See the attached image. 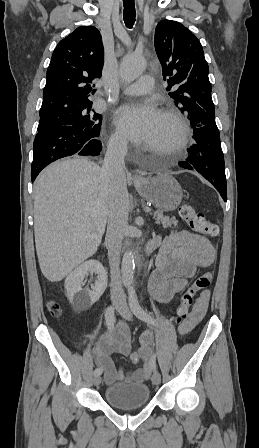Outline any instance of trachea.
<instances>
[{"mask_svg":"<svg viewBox=\"0 0 259 448\" xmlns=\"http://www.w3.org/2000/svg\"><path fill=\"white\" fill-rule=\"evenodd\" d=\"M124 5V22L128 28H132L135 22V2L134 0H123Z\"/></svg>","mask_w":259,"mask_h":448,"instance_id":"3493384b","label":"trachea"}]
</instances>
